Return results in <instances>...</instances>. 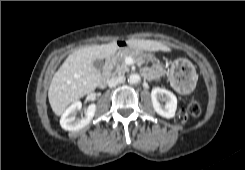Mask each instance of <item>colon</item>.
I'll use <instances>...</instances> for the list:
<instances>
[{"label": "colon", "mask_w": 245, "mask_h": 170, "mask_svg": "<svg viewBox=\"0 0 245 170\" xmlns=\"http://www.w3.org/2000/svg\"><path fill=\"white\" fill-rule=\"evenodd\" d=\"M191 65L186 60H178L172 66L171 81L174 85H181L188 81ZM201 113L200 104L192 100L185 109L179 110L176 114V121L179 124L186 123L189 117H196Z\"/></svg>", "instance_id": "obj_1"}]
</instances>
